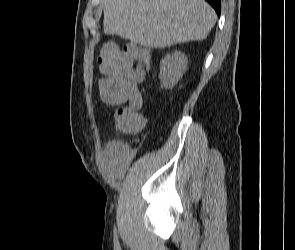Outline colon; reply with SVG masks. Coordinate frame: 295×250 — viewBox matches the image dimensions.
<instances>
[{"mask_svg":"<svg viewBox=\"0 0 295 250\" xmlns=\"http://www.w3.org/2000/svg\"><path fill=\"white\" fill-rule=\"evenodd\" d=\"M140 50L145 49L134 45L126 47L125 49H120L113 43H104L99 53L101 71L103 73L110 72L124 55L135 53ZM113 124L117 129L134 133L140 131L144 127L145 118L140 112V106L124 104L114 111Z\"/></svg>","mask_w":295,"mask_h":250,"instance_id":"1","label":"colon"}]
</instances>
